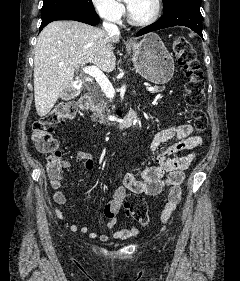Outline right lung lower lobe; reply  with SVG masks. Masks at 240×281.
<instances>
[{
  "label": "right lung lower lobe",
  "instance_id": "98d812e1",
  "mask_svg": "<svg viewBox=\"0 0 240 281\" xmlns=\"http://www.w3.org/2000/svg\"><path fill=\"white\" fill-rule=\"evenodd\" d=\"M56 20H75L83 23L90 24L92 26L97 25L99 23L98 15H89V14H78L75 12L63 11L51 14L42 19V23L40 26V31L50 22Z\"/></svg>",
  "mask_w": 240,
  "mask_h": 281
}]
</instances>
